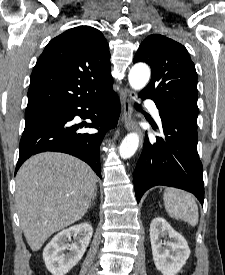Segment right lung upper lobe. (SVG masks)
<instances>
[{
  "label": "right lung upper lobe",
  "mask_w": 225,
  "mask_h": 275,
  "mask_svg": "<svg viewBox=\"0 0 225 275\" xmlns=\"http://www.w3.org/2000/svg\"><path fill=\"white\" fill-rule=\"evenodd\" d=\"M109 46L90 26L69 29L52 39L31 74L25 113L81 102L111 87Z\"/></svg>",
  "instance_id": "obj_1"
}]
</instances>
